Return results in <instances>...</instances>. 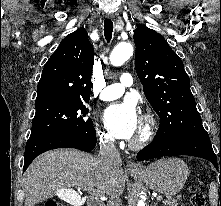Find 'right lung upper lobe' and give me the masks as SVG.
I'll use <instances>...</instances> for the list:
<instances>
[{
    "mask_svg": "<svg viewBox=\"0 0 221 206\" xmlns=\"http://www.w3.org/2000/svg\"><path fill=\"white\" fill-rule=\"evenodd\" d=\"M94 49L84 28L66 36L44 65L35 106L89 102Z\"/></svg>",
    "mask_w": 221,
    "mask_h": 206,
    "instance_id": "cb5924a9",
    "label": "right lung upper lobe"
}]
</instances>
